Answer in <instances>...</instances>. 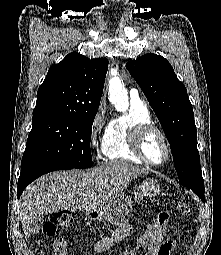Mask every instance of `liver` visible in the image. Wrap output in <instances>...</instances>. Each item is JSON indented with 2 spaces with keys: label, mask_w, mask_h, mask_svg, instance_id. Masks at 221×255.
I'll use <instances>...</instances> for the list:
<instances>
[{
  "label": "liver",
  "mask_w": 221,
  "mask_h": 255,
  "mask_svg": "<svg viewBox=\"0 0 221 255\" xmlns=\"http://www.w3.org/2000/svg\"><path fill=\"white\" fill-rule=\"evenodd\" d=\"M147 171L126 162L114 161L90 170L58 171L46 174L28 186L20 197L19 216L25 238L33 223L43 215L101 209Z\"/></svg>",
  "instance_id": "obj_1"
}]
</instances>
